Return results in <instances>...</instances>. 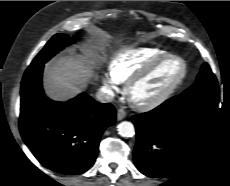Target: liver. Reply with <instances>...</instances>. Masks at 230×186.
<instances>
[{"mask_svg": "<svg viewBox=\"0 0 230 186\" xmlns=\"http://www.w3.org/2000/svg\"><path fill=\"white\" fill-rule=\"evenodd\" d=\"M94 51L86 48L83 55L61 56L48 63L44 86L49 97L64 101L84 89L92 78Z\"/></svg>", "mask_w": 230, "mask_h": 186, "instance_id": "obj_1", "label": "liver"}]
</instances>
